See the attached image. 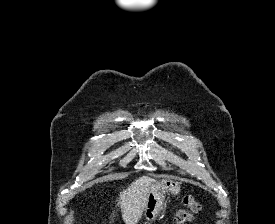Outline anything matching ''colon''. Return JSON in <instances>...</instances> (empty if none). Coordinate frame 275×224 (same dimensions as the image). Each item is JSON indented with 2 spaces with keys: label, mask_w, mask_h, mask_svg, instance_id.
Masks as SVG:
<instances>
[{
  "label": "colon",
  "mask_w": 275,
  "mask_h": 224,
  "mask_svg": "<svg viewBox=\"0 0 275 224\" xmlns=\"http://www.w3.org/2000/svg\"><path fill=\"white\" fill-rule=\"evenodd\" d=\"M184 208L175 213L176 224H188L192 221L194 214L200 211L199 203L191 196L185 195L183 198Z\"/></svg>",
  "instance_id": "1"
}]
</instances>
